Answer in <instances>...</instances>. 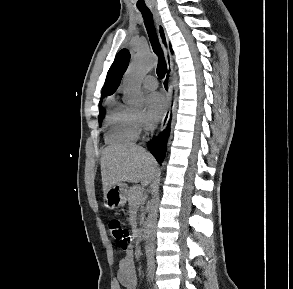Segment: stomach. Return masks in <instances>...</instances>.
I'll return each instance as SVG.
<instances>
[{"mask_svg": "<svg viewBox=\"0 0 293 289\" xmlns=\"http://www.w3.org/2000/svg\"><path fill=\"white\" fill-rule=\"evenodd\" d=\"M128 186L125 183H117L104 193V206L108 209H119L127 200Z\"/></svg>", "mask_w": 293, "mask_h": 289, "instance_id": "obj_1", "label": "stomach"}]
</instances>
